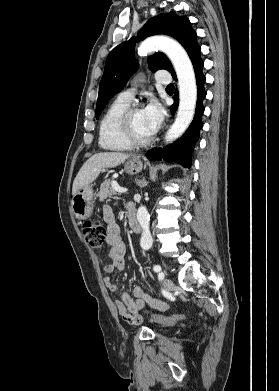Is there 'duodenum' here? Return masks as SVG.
Masks as SVG:
<instances>
[{
    "mask_svg": "<svg viewBox=\"0 0 279 391\" xmlns=\"http://www.w3.org/2000/svg\"><path fill=\"white\" fill-rule=\"evenodd\" d=\"M126 215H127L128 223H129L132 231L134 233H140L141 226H140V223L137 219L135 208L133 206L126 208Z\"/></svg>",
    "mask_w": 279,
    "mask_h": 391,
    "instance_id": "obj_1",
    "label": "duodenum"
}]
</instances>
